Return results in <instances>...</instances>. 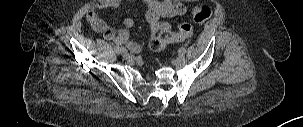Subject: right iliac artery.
Instances as JSON below:
<instances>
[{
	"label": "right iliac artery",
	"mask_w": 303,
	"mask_h": 127,
	"mask_svg": "<svg viewBox=\"0 0 303 127\" xmlns=\"http://www.w3.org/2000/svg\"><path fill=\"white\" fill-rule=\"evenodd\" d=\"M114 50H115V52L118 53V54H121V53H123V52L126 51L125 48L119 47V46H114Z\"/></svg>",
	"instance_id": "82829eb1"
}]
</instances>
